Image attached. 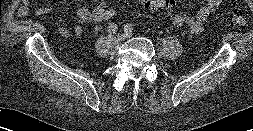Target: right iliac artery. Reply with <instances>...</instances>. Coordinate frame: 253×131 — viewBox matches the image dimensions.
<instances>
[{
	"label": "right iliac artery",
	"mask_w": 253,
	"mask_h": 131,
	"mask_svg": "<svg viewBox=\"0 0 253 131\" xmlns=\"http://www.w3.org/2000/svg\"><path fill=\"white\" fill-rule=\"evenodd\" d=\"M117 30H118V28H117V25L115 24V23H111V24H109V26H108V32L109 33H116L117 32Z\"/></svg>",
	"instance_id": "1"
}]
</instances>
